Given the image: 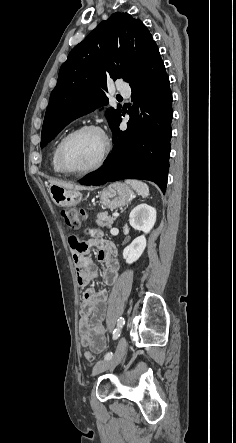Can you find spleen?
Returning a JSON list of instances; mask_svg holds the SVG:
<instances>
[{
	"label": "spleen",
	"instance_id": "obj_1",
	"mask_svg": "<svg viewBox=\"0 0 236 443\" xmlns=\"http://www.w3.org/2000/svg\"><path fill=\"white\" fill-rule=\"evenodd\" d=\"M125 182L129 184L143 198L149 196V187L146 183L139 180H126Z\"/></svg>",
	"mask_w": 236,
	"mask_h": 443
}]
</instances>
